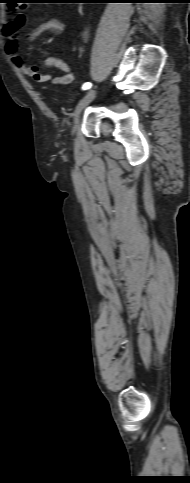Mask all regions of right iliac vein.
Wrapping results in <instances>:
<instances>
[{"label": "right iliac vein", "instance_id": "right-iliac-vein-1", "mask_svg": "<svg viewBox=\"0 0 190 483\" xmlns=\"http://www.w3.org/2000/svg\"><path fill=\"white\" fill-rule=\"evenodd\" d=\"M95 93H96L95 90H89L88 92H86V94L82 97V99L77 104L75 111H74V115H73L72 134H74L76 129H77L79 117H80L82 110L93 99Z\"/></svg>", "mask_w": 190, "mask_h": 483}]
</instances>
